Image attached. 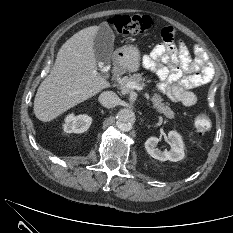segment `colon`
Wrapping results in <instances>:
<instances>
[{
  "mask_svg": "<svg viewBox=\"0 0 233 233\" xmlns=\"http://www.w3.org/2000/svg\"><path fill=\"white\" fill-rule=\"evenodd\" d=\"M109 25L119 34H142L153 26V20L145 15H116L108 19ZM195 130L202 134L211 128L209 113H199L194 120Z\"/></svg>",
  "mask_w": 233,
  "mask_h": 233,
  "instance_id": "colon-1",
  "label": "colon"
}]
</instances>
